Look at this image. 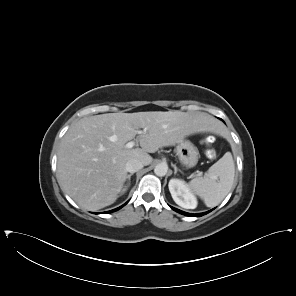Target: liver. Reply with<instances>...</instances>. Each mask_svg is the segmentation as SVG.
Here are the masks:
<instances>
[{
	"instance_id": "liver-1",
	"label": "liver",
	"mask_w": 296,
	"mask_h": 296,
	"mask_svg": "<svg viewBox=\"0 0 296 296\" xmlns=\"http://www.w3.org/2000/svg\"><path fill=\"white\" fill-rule=\"evenodd\" d=\"M146 129L139 134L138 129ZM217 132L215 120L203 112L149 111L84 117L62 138L57 180L80 207L93 211L113 204L127 179L126 163H152L148 153L178 144L186 136ZM141 148H126L136 135Z\"/></svg>"
}]
</instances>
